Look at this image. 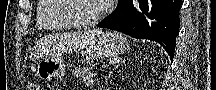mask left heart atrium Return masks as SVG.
<instances>
[{"label":"left heart atrium","mask_w":216,"mask_h":90,"mask_svg":"<svg viewBox=\"0 0 216 90\" xmlns=\"http://www.w3.org/2000/svg\"><path fill=\"white\" fill-rule=\"evenodd\" d=\"M99 3H114L115 0H98Z\"/></svg>","instance_id":"obj_1"}]
</instances>
